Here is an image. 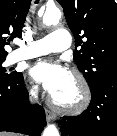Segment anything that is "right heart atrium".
Segmentation results:
<instances>
[{
    "label": "right heart atrium",
    "mask_w": 117,
    "mask_h": 136,
    "mask_svg": "<svg viewBox=\"0 0 117 136\" xmlns=\"http://www.w3.org/2000/svg\"><path fill=\"white\" fill-rule=\"evenodd\" d=\"M28 94L31 98L35 97L37 94V86L36 85H31L28 90Z\"/></svg>",
    "instance_id": "right-heart-atrium-1"
}]
</instances>
